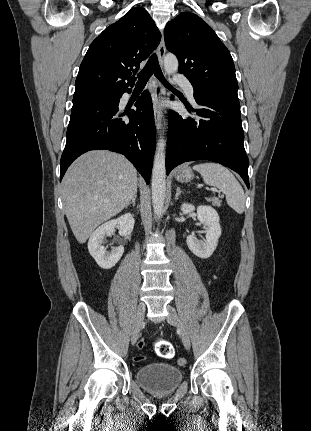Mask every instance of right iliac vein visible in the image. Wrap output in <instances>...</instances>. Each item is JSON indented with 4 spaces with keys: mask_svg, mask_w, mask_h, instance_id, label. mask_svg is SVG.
<instances>
[{
    "mask_svg": "<svg viewBox=\"0 0 311 431\" xmlns=\"http://www.w3.org/2000/svg\"><path fill=\"white\" fill-rule=\"evenodd\" d=\"M145 304L144 303H139L138 308H137V313H136V317H135V321H134V325L132 328V333H131V342L132 344H135L140 331H141V327L144 321V315H145Z\"/></svg>",
    "mask_w": 311,
    "mask_h": 431,
    "instance_id": "1",
    "label": "right iliac vein"
}]
</instances>
